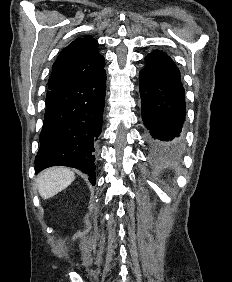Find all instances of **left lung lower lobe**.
I'll list each match as a JSON object with an SVG mask.
<instances>
[{
	"label": "left lung lower lobe",
	"mask_w": 232,
	"mask_h": 282,
	"mask_svg": "<svg viewBox=\"0 0 232 282\" xmlns=\"http://www.w3.org/2000/svg\"><path fill=\"white\" fill-rule=\"evenodd\" d=\"M140 71L142 119L148 130L147 141L153 149L182 144L186 116L185 92L180 71L165 53L155 50L145 57Z\"/></svg>",
	"instance_id": "0a47b994"
}]
</instances>
